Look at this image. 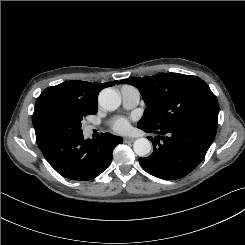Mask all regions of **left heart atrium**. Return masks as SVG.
Segmentation results:
<instances>
[{
  "label": "left heart atrium",
  "instance_id": "left-heart-atrium-1",
  "mask_svg": "<svg viewBox=\"0 0 245 245\" xmlns=\"http://www.w3.org/2000/svg\"><path fill=\"white\" fill-rule=\"evenodd\" d=\"M129 128L130 123L126 118H118L112 122V129L117 133H126Z\"/></svg>",
  "mask_w": 245,
  "mask_h": 245
}]
</instances>
